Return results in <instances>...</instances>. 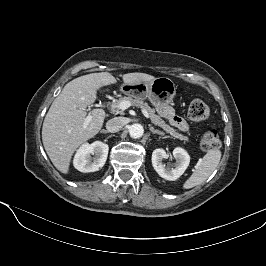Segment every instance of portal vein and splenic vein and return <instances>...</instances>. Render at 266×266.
<instances>
[{
    "mask_svg": "<svg viewBox=\"0 0 266 266\" xmlns=\"http://www.w3.org/2000/svg\"><path fill=\"white\" fill-rule=\"evenodd\" d=\"M131 106L130 102L129 101H122L120 104H119V108L124 111L126 110L127 108H129ZM142 113L143 115L146 117V118H150L149 116V113L146 111V110H142ZM91 115H88L85 119V122H84V125H83V128H86L87 125L89 124L90 120H91Z\"/></svg>",
    "mask_w": 266,
    "mask_h": 266,
    "instance_id": "1",
    "label": "portal vein and splenic vein"
}]
</instances>
